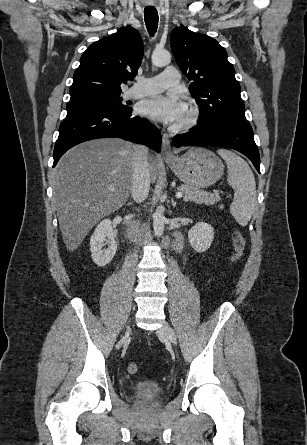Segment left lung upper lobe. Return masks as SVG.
I'll use <instances>...</instances> for the list:
<instances>
[{"label":"left lung upper lobe","mask_w":307,"mask_h":445,"mask_svg":"<svg viewBox=\"0 0 307 445\" xmlns=\"http://www.w3.org/2000/svg\"><path fill=\"white\" fill-rule=\"evenodd\" d=\"M170 43L178 66L193 81L189 91L199 105L197 123L220 118L246 120L240 84L226 50L212 37L184 26L172 30Z\"/></svg>","instance_id":"left-lung-upper-lobe-1"}]
</instances>
